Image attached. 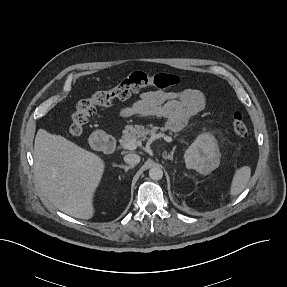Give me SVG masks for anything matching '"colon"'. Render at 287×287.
<instances>
[{
  "instance_id": "obj_1",
  "label": "colon",
  "mask_w": 287,
  "mask_h": 287,
  "mask_svg": "<svg viewBox=\"0 0 287 287\" xmlns=\"http://www.w3.org/2000/svg\"><path fill=\"white\" fill-rule=\"evenodd\" d=\"M184 80V78L171 73L134 71L112 89L97 91L91 97L80 100L70 116V133L79 136L98 106H108L115 99L125 100L146 86L169 89L179 85ZM232 127L236 135L243 138L247 137L248 128L240 112H234Z\"/></svg>"
}]
</instances>
